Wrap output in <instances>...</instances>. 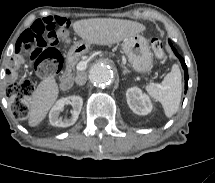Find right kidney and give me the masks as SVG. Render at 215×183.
Listing matches in <instances>:
<instances>
[{
  "instance_id": "obj_1",
  "label": "right kidney",
  "mask_w": 215,
  "mask_h": 183,
  "mask_svg": "<svg viewBox=\"0 0 215 183\" xmlns=\"http://www.w3.org/2000/svg\"><path fill=\"white\" fill-rule=\"evenodd\" d=\"M66 104H71L73 110L71 111L70 118L65 117L63 119L62 117H60V113L63 111V108ZM82 105L83 99L80 96L74 95L59 99L49 113L50 124L57 127H68L73 125L78 119Z\"/></svg>"
}]
</instances>
